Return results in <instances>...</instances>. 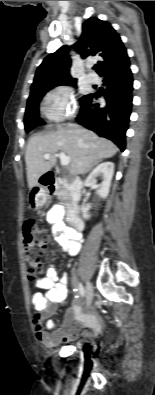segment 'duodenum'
Here are the masks:
<instances>
[{
    "mask_svg": "<svg viewBox=\"0 0 155 395\" xmlns=\"http://www.w3.org/2000/svg\"><path fill=\"white\" fill-rule=\"evenodd\" d=\"M42 185L51 193H54L61 188L69 190L67 220L75 230H82L83 220L80 215L79 207L82 182L79 179L69 181L68 179L59 177L54 173H47L42 177Z\"/></svg>",
    "mask_w": 155,
    "mask_h": 395,
    "instance_id": "410a0bca",
    "label": "duodenum"
}]
</instances>
